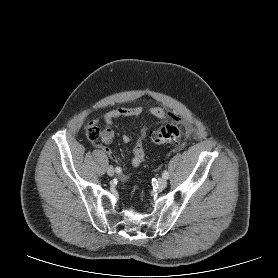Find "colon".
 <instances>
[{
  "instance_id": "1",
  "label": "colon",
  "mask_w": 278,
  "mask_h": 278,
  "mask_svg": "<svg viewBox=\"0 0 278 278\" xmlns=\"http://www.w3.org/2000/svg\"><path fill=\"white\" fill-rule=\"evenodd\" d=\"M175 123H168L154 130L150 134V139L155 144H166L177 142L182 134L181 128L177 123L178 118H174ZM101 135V130L96 123H91L87 128V137L91 142H96Z\"/></svg>"
}]
</instances>
